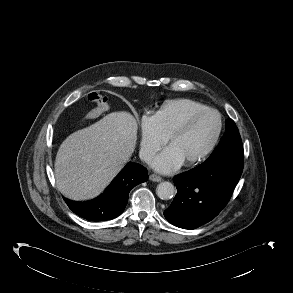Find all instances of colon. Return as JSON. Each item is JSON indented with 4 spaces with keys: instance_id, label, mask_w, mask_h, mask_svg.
Segmentation results:
<instances>
[{
    "instance_id": "5ec220e1",
    "label": "colon",
    "mask_w": 293,
    "mask_h": 293,
    "mask_svg": "<svg viewBox=\"0 0 293 293\" xmlns=\"http://www.w3.org/2000/svg\"><path fill=\"white\" fill-rule=\"evenodd\" d=\"M89 102L93 104V108L86 114V119H95L105 113L109 108L107 96L100 92H91L87 96Z\"/></svg>"
}]
</instances>
